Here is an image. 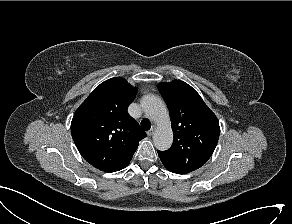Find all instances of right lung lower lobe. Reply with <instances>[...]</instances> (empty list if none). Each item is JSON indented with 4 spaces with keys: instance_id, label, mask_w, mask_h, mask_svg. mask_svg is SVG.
I'll list each match as a JSON object with an SVG mask.
<instances>
[{
    "instance_id": "98d812e1",
    "label": "right lung lower lobe",
    "mask_w": 292,
    "mask_h": 224,
    "mask_svg": "<svg viewBox=\"0 0 292 224\" xmlns=\"http://www.w3.org/2000/svg\"><path fill=\"white\" fill-rule=\"evenodd\" d=\"M129 164V163H128ZM128 164H126V165H123V166H121V167H118V168H116V169H113V170H111V171H108V172H115V171H119V170H121V169H123V168H125Z\"/></svg>"
}]
</instances>
